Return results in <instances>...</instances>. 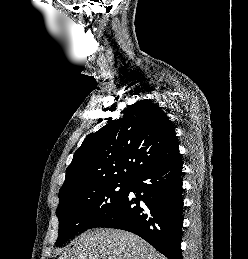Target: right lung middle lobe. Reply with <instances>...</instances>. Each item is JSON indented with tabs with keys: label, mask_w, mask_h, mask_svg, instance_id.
Returning a JSON list of instances; mask_svg holds the SVG:
<instances>
[{
	"label": "right lung middle lobe",
	"mask_w": 248,
	"mask_h": 259,
	"mask_svg": "<svg viewBox=\"0 0 248 259\" xmlns=\"http://www.w3.org/2000/svg\"><path fill=\"white\" fill-rule=\"evenodd\" d=\"M130 181L92 183L68 191L57 208L59 236L56 246L76 233L107 221L128 191Z\"/></svg>",
	"instance_id": "obj_1"
}]
</instances>
